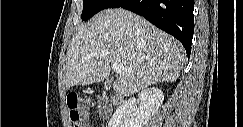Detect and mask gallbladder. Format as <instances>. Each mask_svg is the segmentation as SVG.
<instances>
[{"instance_id":"1","label":"gallbladder","mask_w":243,"mask_h":127,"mask_svg":"<svg viewBox=\"0 0 243 127\" xmlns=\"http://www.w3.org/2000/svg\"><path fill=\"white\" fill-rule=\"evenodd\" d=\"M108 86H110V81H107V82L105 83V87L107 88Z\"/></svg>"}]
</instances>
